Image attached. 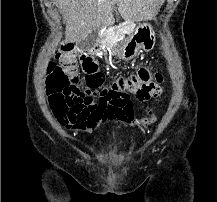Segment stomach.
Listing matches in <instances>:
<instances>
[{
	"label": "stomach",
	"mask_w": 217,
	"mask_h": 202,
	"mask_svg": "<svg viewBox=\"0 0 217 202\" xmlns=\"http://www.w3.org/2000/svg\"><path fill=\"white\" fill-rule=\"evenodd\" d=\"M155 42V30H153L151 24H139L133 34L120 42L119 58L121 60H132L141 50H145V52L153 50Z\"/></svg>",
	"instance_id": "obj_1"
}]
</instances>
